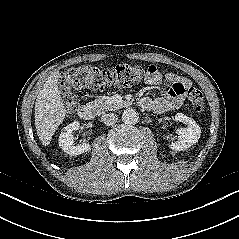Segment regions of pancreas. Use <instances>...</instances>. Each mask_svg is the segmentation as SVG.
<instances>
[{"label": "pancreas", "instance_id": "pancreas-1", "mask_svg": "<svg viewBox=\"0 0 239 239\" xmlns=\"http://www.w3.org/2000/svg\"><path fill=\"white\" fill-rule=\"evenodd\" d=\"M90 104L95 107L98 112L112 111L119 107L111 97H102L90 102Z\"/></svg>", "mask_w": 239, "mask_h": 239}]
</instances>
